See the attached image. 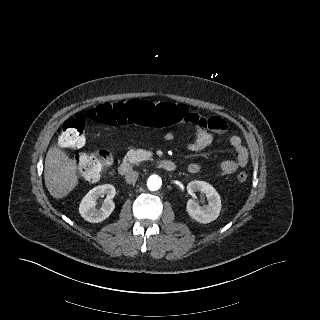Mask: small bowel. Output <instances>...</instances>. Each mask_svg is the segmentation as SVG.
I'll use <instances>...</instances> for the list:
<instances>
[{
    "label": "small bowel",
    "instance_id": "c3829d8e",
    "mask_svg": "<svg viewBox=\"0 0 320 320\" xmlns=\"http://www.w3.org/2000/svg\"><path fill=\"white\" fill-rule=\"evenodd\" d=\"M183 118L181 122L192 124L195 127L194 139L190 142L187 148L192 152H200L210 147L214 142V133H222L226 130L227 125L220 117L205 118L196 112L189 111L183 106ZM174 138L173 133L166 135L167 140ZM229 143L233 148L236 157L235 159L224 160L220 163V171L222 174H232L239 168L245 167L248 163V150L244 146L242 139L237 136H231ZM201 167L198 163H190L187 171L190 174H196Z\"/></svg>",
    "mask_w": 320,
    "mask_h": 320
}]
</instances>
